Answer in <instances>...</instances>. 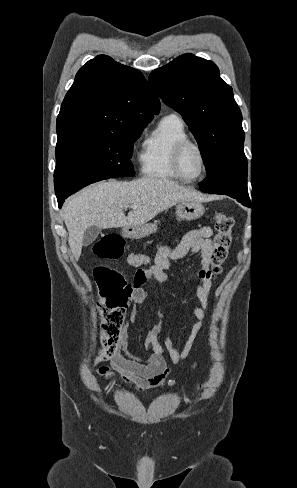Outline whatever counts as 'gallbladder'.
<instances>
[{
	"label": "gallbladder",
	"instance_id": "obj_1",
	"mask_svg": "<svg viewBox=\"0 0 297 488\" xmlns=\"http://www.w3.org/2000/svg\"><path fill=\"white\" fill-rule=\"evenodd\" d=\"M101 229L98 226H90L86 229L83 237V245L88 246L96 240Z\"/></svg>",
	"mask_w": 297,
	"mask_h": 488
}]
</instances>
